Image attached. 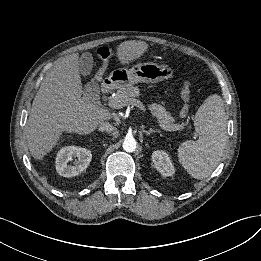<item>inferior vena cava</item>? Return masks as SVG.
<instances>
[{
  "label": "inferior vena cava",
  "instance_id": "602c4592",
  "mask_svg": "<svg viewBox=\"0 0 261 261\" xmlns=\"http://www.w3.org/2000/svg\"><path fill=\"white\" fill-rule=\"evenodd\" d=\"M99 130L100 131H105V132H112L114 130V126L110 124L109 122H101L99 125Z\"/></svg>",
  "mask_w": 261,
  "mask_h": 261
}]
</instances>
